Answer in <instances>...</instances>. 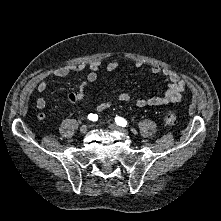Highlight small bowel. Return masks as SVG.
I'll return each instance as SVG.
<instances>
[{
    "label": "small bowel",
    "mask_w": 221,
    "mask_h": 221,
    "mask_svg": "<svg viewBox=\"0 0 221 221\" xmlns=\"http://www.w3.org/2000/svg\"><path fill=\"white\" fill-rule=\"evenodd\" d=\"M142 64L140 62L135 63L136 67H140ZM119 64L116 61L108 62L103 64L99 60H91L89 62H80L77 64H68L65 66H61L55 68L52 71V75L55 77L63 78L67 77L72 73L80 72L85 68L89 69V72L85 76L84 81L78 86V89L81 92V96L79 99H74L75 92L67 93V99L71 102L81 103L85 99V88L87 85L94 83L98 78V72L100 69H104L105 71H114L118 68ZM149 74L153 76L161 75L163 76L166 81L168 82V88L161 94L156 95L148 98H136L127 93L122 92L118 95L117 99L120 102H131L133 101L134 104L139 107H159V106H167L170 104H175L179 102L185 93L186 90V82L184 79L176 72L171 71L169 69H162L158 65H152L149 67ZM37 90L40 93H44L48 90L49 85L45 80H40L36 86ZM32 88L30 87L29 90ZM113 104L112 100L100 103L96 106L97 111H103L111 107ZM47 103L46 100L42 97L36 100V107L39 110H43L46 107ZM39 120L45 121L47 116L44 113H40L38 115Z\"/></svg>",
    "instance_id": "c3829d8e"
}]
</instances>
